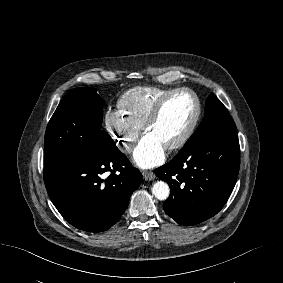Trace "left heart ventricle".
Listing matches in <instances>:
<instances>
[{
    "label": "left heart ventricle",
    "instance_id": "b2bd125f",
    "mask_svg": "<svg viewBox=\"0 0 283 283\" xmlns=\"http://www.w3.org/2000/svg\"><path fill=\"white\" fill-rule=\"evenodd\" d=\"M195 102L188 94L173 96L163 107L158 119L145 133L165 148L176 141L189 126L195 114Z\"/></svg>",
    "mask_w": 283,
    "mask_h": 283
}]
</instances>
